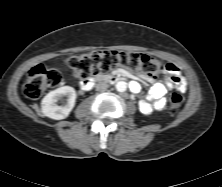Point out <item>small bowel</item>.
Masks as SVG:
<instances>
[{
    "mask_svg": "<svg viewBox=\"0 0 222 187\" xmlns=\"http://www.w3.org/2000/svg\"><path fill=\"white\" fill-rule=\"evenodd\" d=\"M165 72L168 74V77L163 79L142 76L145 81L151 84L146 99L141 100L139 103L140 110L145 115L164 109L166 105L165 95L168 88L175 86L180 90H185L187 87L186 80L179 74L180 70L178 66L173 63H167L165 66ZM133 88L134 90H139V86L136 84Z\"/></svg>",
    "mask_w": 222,
    "mask_h": 187,
    "instance_id": "obj_1",
    "label": "small bowel"
}]
</instances>
